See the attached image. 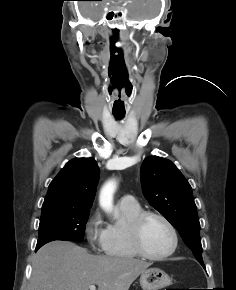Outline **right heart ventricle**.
Returning <instances> with one entry per match:
<instances>
[{"mask_svg":"<svg viewBox=\"0 0 236 290\" xmlns=\"http://www.w3.org/2000/svg\"><path fill=\"white\" fill-rule=\"evenodd\" d=\"M118 209L122 216V221L107 226L102 249L107 256L132 259L137 257L138 254L135 252L130 240L129 224L142 209L138 203L134 205L119 203Z\"/></svg>","mask_w":236,"mask_h":290,"instance_id":"1","label":"right heart ventricle"}]
</instances>
